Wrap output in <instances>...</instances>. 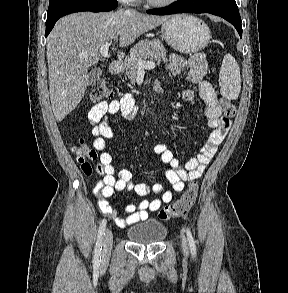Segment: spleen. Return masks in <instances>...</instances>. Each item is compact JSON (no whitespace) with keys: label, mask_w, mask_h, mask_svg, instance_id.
Returning a JSON list of instances; mask_svg holds the SVG:
<instances>
[{"label":"spleen","mask_w":288,"mask_h":293,"mask_svg":"<svg viewBox=\"0 0 288 293\" xmlns=\"http://www.w3.org/2000/svg\"><path fill=\"white\" fill-rule=\"evenodd\" d=\"M219 77L222 96L228 100L237 99L241 89L240 68L231 54L224 56Z\"/></svg>","instance_id":"spleen-1"}]
</instances>
